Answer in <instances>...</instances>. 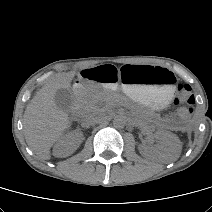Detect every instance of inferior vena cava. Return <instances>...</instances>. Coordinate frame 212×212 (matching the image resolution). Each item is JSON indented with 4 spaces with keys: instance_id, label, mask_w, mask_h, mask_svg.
<instances>
[{
    "instance_id": "inferior-vena-cava-1",
    "label": "inferior vena cava",
    "mask_w": 212,
    "mask_h": 212,
    "mask_svg": "<svg viewBox=\"0 0 212 212\" xmlns=\"http://www.w3.org/2000/svg\"><path fill=\"white\" fill-rule=\"evenodd\" d=\"M102 116L96 111H90L83 117V124L85 126L95 125L100 123L102 120Z\"/></svg>"
}]
</instances>
